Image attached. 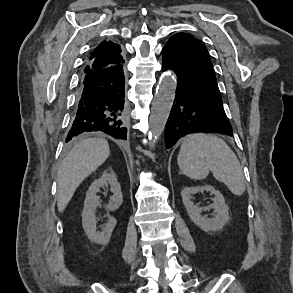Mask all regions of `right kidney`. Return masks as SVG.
Listing matches in <instances>:
<instances>
[{
	"mask_svg": "<svg viewBox=\"0 0 293 293\" xmlns=\"http://www.w3.org/2000/svg\"><path fill=\"white\" fill-rule=\"evenodd\" d=\"M108 185H110L113 195L106 209L115 211L120 207L123 202L120 184L114 172H105L89 187L82 212V225L86 235L92 242L102 245H106L109 242L112 231L117 224L114 217H109L108 223H106L102 231H98L96 228L95 211L100 204L97 193L100 188Z\"/></svg>",
	"mask_w": 293,
	"mask_h": 293,
	"instance_id": "obj_1",
	"label": "right kidney"
}]
</instances>
